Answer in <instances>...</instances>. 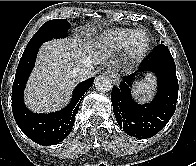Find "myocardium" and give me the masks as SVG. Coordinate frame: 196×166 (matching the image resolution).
<instances>
[{
  "instance_id": "1",
  "label": "myocardium",
  "mask_w": 196,
  "mask_h": 166,
  "mask_svg": "<svg viewBox=\"0 0 196 166\" xmlns=\"http://www.w3.org/2000/svg\"><path fill=\"white\" fill-rule=\"evenodd\" d=\"M139 34H142L144 36L145 41L141 46L136 47L133 45V40ZM149 47H150V38L145 30H136L130 34L128 38V51L133 59L141 60L142 58H144L149 51Z\"/></svg>"
}]
</instances>
